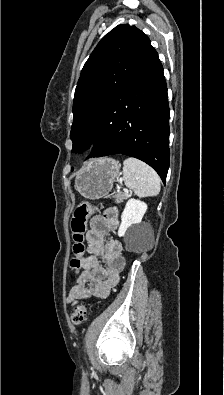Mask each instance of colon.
I'll use <instances>...</instances> for the list:
<instances>
[{
    "instance_id": "1",
    "label": "colon",
    "mask_w": 224,
    "mask_h": 395,
    "mask_svg": "<svg viewBox=\"0 0 224 395\" xmlns=\"http://www.w3.org/2000/svg\"><path fill=\"white\" fill-rule=\"evenodd\" d=\"M96 208L89 203H81L75 209L71 220V232L73 239L74 257L70 261L73 271L81 268V259L85 252L84 233L88 218L96 212ZM89 313L85 304H79L73 308L70 314L71 322L80 325L88 319Z\"/></svg>"
}]
</instances>
